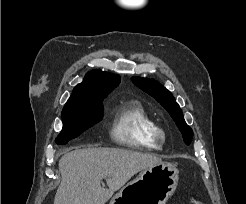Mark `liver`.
Returning <instances> with one entry per match:
<instances>
[{"mask_svg": "<svg viewBox=\"0 0 246 204\" xmlns=\"http://www.w3.org/2000/svg\"><path fill=\"white\" fill-rule=\"evenodd\" d=\"M159 163L156 155L126 149L69 151L59 161L62 180L54 204H105L136 173ZM102 179L108 188L101 186Z\"/></svg>", "mask_w": 246, "mask_h": 204, "instance_id": "liver-1", "label": "liver"}]
</instances>
